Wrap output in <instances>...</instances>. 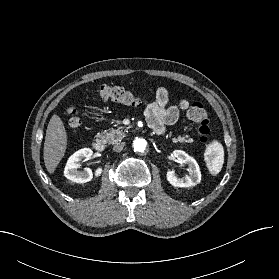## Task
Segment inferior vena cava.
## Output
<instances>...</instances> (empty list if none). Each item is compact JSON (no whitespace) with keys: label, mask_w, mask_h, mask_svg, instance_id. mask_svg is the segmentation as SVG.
Returning <instances> with one entry per match:
<instances>
[{"label":"inferior vena cava","mask_w":279,"mask_h":279,"mask_svg":"<svg viewBox=\"0 0 279 279\" xmlns=\"http://www.w3.org/2000/svg\"><path fill=\"white\" fill-rule=\"evenodd\" d=\"M124 146H125L124 142H119V143L114 145L113 150L115 152H121L123 150Z\"/></svg>","instance_id":"1"}]
</instances>
